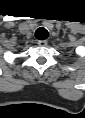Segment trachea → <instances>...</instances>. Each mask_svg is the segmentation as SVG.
Instances as JSON below:
<instances>
[{
    "mask_svg": "<svg viewBox=\"0 0 85 118\" xmlns=\"http://www.w3.org/2000/svg\"><path fill=\"white\" fill-rule=\"evenodd\" d=\"M35 36L38 40H45L48 38V31L45 28H38L36 30Z\"/></svg>",
    "mask_w": 85,
    "mask_h": 118,
    "instance_id": "trachea-1",
    "label": "trachea"
}]
</instances>
